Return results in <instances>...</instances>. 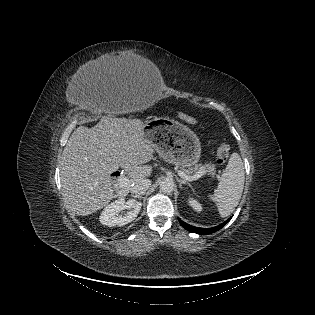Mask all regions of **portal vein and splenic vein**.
Listing matches in <instances>:
<instances>
[{
    "label": "portal vein and splenic vein",
    "mask_w": 315,
    "mask_h": 315,
    "mask_svg": "<svg viewBox=\"0 0 315 315\" xmlns=\"http://www.w3.org/2000/svg\"><path fill=\"white\" fill-rule=\"evenodd\" d=\"M205 174V172L203 170L198 171L196 174L194 175H187L185 174L183 171H178V175L183 178L184 180L187 181H194L199 179L201 176H203ZM129 183V179L126 176H122L118 179V185L119 187H124L125 185H128Z\"/></svg>",
    "instance_id": "portal-vein-and-splenic-vein-1"
}]
</instances>
